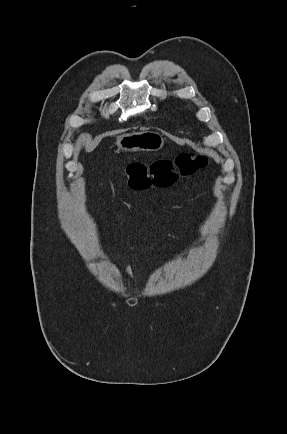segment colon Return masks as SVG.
Here are the masks:
<instances>
[{"label":"colon","instance_id":"1","mask_svg":"<svg viewBox=\"0 0 287 434\" xmlns=\"http://www.w3.org/2000/svg\"><path fill=\"white\" fill-rule=\"evenodd\" d=\"M207 164L202 154L181 153L173 161L157 160L150 165L131 163L124 167L128 185L137 190L151 186L167 187L179 176H188Z\"/></svg>","mask_w":287,"mask_h":434}]
</instances>
